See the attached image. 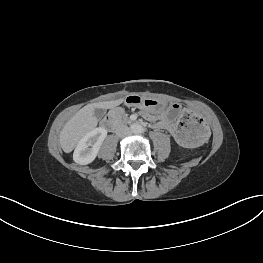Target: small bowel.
<instances>
[{"label": "small bowel", "instance_id": "c3829d8e", "mask_svg": "<svg viewBox=\"0 0 263 263\" xmlns=\"http://www.w3.org/2000/svg\"><path fill=\"white\" fill-rule=\"evenodd\" d=\"M142 115H143V117H144L147 121L152 122V123H153V126H154L155 128L163 129V130L168 131V132L172 135V137L175 139V141H176L177 143H179V142L177 141L176 134H175L171 129L166 128L164 125H162V124L160 123V120H159L160 114L157 115V114H155V113H153V112H151V111H144V112H142ZM179 144H180V143H179Z\"/></svg>", "mask_w": 263, "mask_h": 263}]
</instances>
